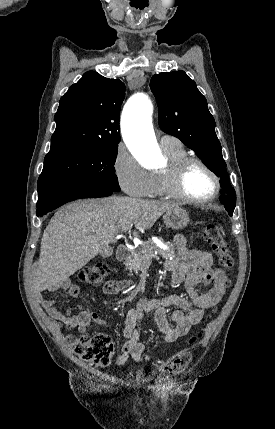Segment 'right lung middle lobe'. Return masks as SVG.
<instances>
[{"mask_svg":"<svg viewBox=\"0 0 275 429\" xmlns=\"http://www.w3.org/2000/svg\"><path fill=\"white\" fill-rule=\"evenodd\" d=\"M117 150L118 145L49 151L38 179V197L80 186L120 191L114 169Z\"/></svg>","mask_w":275,"mask_h":429,"instance_id":"1","label":"right lung middle lobe"}]
</instances>
